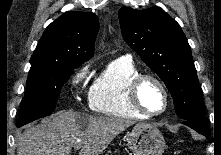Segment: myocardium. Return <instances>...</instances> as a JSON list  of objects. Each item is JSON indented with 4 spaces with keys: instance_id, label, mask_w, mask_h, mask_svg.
<instances>
[{
    "instance_id": "myocardium-1",
    "label": "myocardium",
    "mask_w": 221,
    "mask_h": 155,
    "mask_svg": "<svg viewBox=\"0 0 221 155\" xmlns=\"http://www.w3.org/2000/svg\"><path fill=\"white\" fill-rule=\"evenodd\" d=\"M145 81H152L161 89L163 96H164V101H165L164 107L162 110L158 112H151V111H148L142 105L139 94H140L141 86L143 85ZM127 94H128L129 103L132 106V108L146 117H156V116H160L164 114L167 111L169 104H170V96H169V92H168L166 85L158 77L151 75V74H139L138 76H136L130 82L128 86Z\"/></svg>"
}]
</instances>
